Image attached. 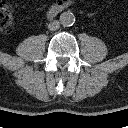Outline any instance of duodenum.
<instances>
[{"instance_id": "duodenum-1", "label": "duodenum", "mask_w": 128, "mask_h": 128, "mask_svg": "<svg viewBox=\"0 0 128 128\" xmlns=\"http://www.w3.org/2000/svg\"><path fill=\"white\" fill-rule=\"evenodd\" d=\"M71 4V0H58L48 10V17L53 18L61 11L67 9Z\"/></svg>"}]
</instances>
